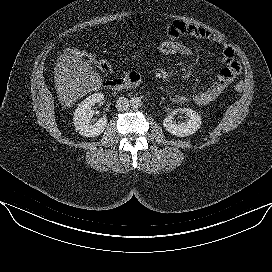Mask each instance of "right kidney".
Listing matches in <instances>:
<instances>
[{
  "mask_svg": "<svg viewBox=\"0 0 272 272\" xmlns=\"http://www.w3.org/2000/svg\"><path fill=\"white\" fill-rule=\"evenodd\" d=\"M104 100L103 93H94L84 99L74 112L73 123L76 131L84 137H97L103 133L106 128V117L94 121V110L92 107L96 103H101Z\"/></svg>",
  "mask_w": 272,
  "mask_h": 272,
  "instance_id": "ca27d5eb",
  "label": "right kidney"
}]
</instances>
